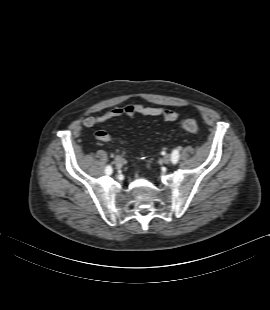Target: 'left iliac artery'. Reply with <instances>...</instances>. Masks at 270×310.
Listing matches in <instances>:
<instances>
[{"mask_svg":"<svg viewBox=\"0 0 270 310\" xmlns=\"http://www.w3.org/2000/svg\"><path fill=\"white\" fill-rule=\"evenodd\" d=\"M171 160L173 162V164H176L179 160V153L177 150H174L171 154Z\"/></svg>","mask_w":270,"mask_h":310,"instance_id":"1","label":"left iliac artery"}]
</instances>
